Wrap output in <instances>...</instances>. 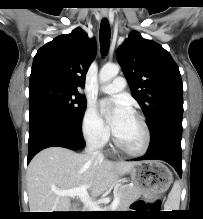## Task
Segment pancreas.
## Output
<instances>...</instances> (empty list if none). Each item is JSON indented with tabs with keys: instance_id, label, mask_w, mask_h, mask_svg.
<instances>
[{
	"instance_id": "pancreas-1",
	"label": "pancreas",
	"mask_w": 203,
	"mask_h": 219,
	"mask_svg": "<svg viewBox=\"0 0 203 219\" xmlns=\"http://www.w3.org/2000/svg\"><path fill=\"white\" fill-rule=\"evenodd\" d=\"M116 193L120 198L117 211L126 210L130 204L140 196V192L135 187L127 185L118 188Z\"/></svg>"
}]
</instances>
